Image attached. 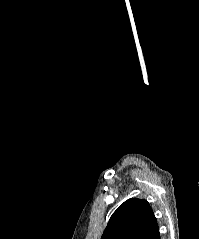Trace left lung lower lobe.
<instances>
[{"label":"left lung lower lobe","instance_id":"1","mask_svg":"<svg viewBox=\"0 0 199 239\" xmlns=\"http://www.w3.org/2000/svg\"><path fill=\"white\" fill-rule=\"evenodd\" d=\"M155 239H160V233L158 232V234L156 235Z\"/></svg>","mask_w":199,"mask_h":239}]
</instances>
